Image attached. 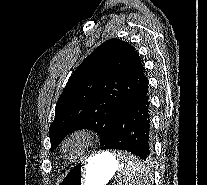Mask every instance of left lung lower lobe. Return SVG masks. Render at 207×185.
Returning a JSON list of instances; mask_svg holds the SVG:
<instances>
[{"mask_svg":"<svg viewBox=\"0 0 207 185\" xmlns=\"http://www.w3.org/2000/svg\"><path fill=\"white\" fill-rule=\"evenodd\" d=\"M102 149L129 151L143 160L151 155L148 83L117 114Z\"/></svg>","mask_w":207,"mask_h":185,"instance_id":"1","label":"left lung lower lobe"}]
</instances>
